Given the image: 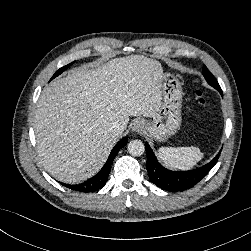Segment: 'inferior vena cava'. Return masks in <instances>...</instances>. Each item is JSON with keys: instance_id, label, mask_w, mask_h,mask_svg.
Returning a JSON list of instances; mask_svg holds the SVG:
<instances>
[{"instance_id": "602c4592", "label": "inferior vena cava", "mask_w": 251, "mask_h": 251, "mask_svg": "<svg viewBox=\"0 0 251 251\" xmlns=\"http://www.w3.org/2000/svg\"><path fill=\"white\" fill-rule=\"evenodd\" d=\"M110 132L114 135H119L123 132V126H121L119 123L114 122L110 127Z\"/></svg>"}]
</instances>
